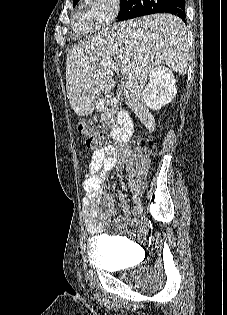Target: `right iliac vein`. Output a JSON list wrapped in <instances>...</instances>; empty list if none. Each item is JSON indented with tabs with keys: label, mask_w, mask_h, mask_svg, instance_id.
I'll list each match as a JSON object with an SVG mask.
<instances>
[{
	"label": "right iliac vein",
	"mask_w": 227,
	"mask_h": 315,
	"mask_svg": "<svg viewBox=\"0 0 227 315\" xmlns=\"http://www.w3.org/2000/svg\"><path fill=\"white\" fill-rule=\"evenodd\" d=\"M142 210H143L142 204H141L140 201H138V202L136 203L135 208H134V215H135V216H139V215L142 213Z\"/></svg>",
	"instance_id": "63e3f726"
}]
</instances>
